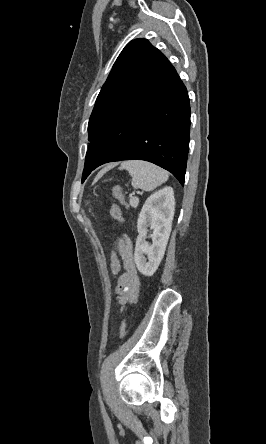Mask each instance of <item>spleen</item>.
Segmentation results:
<instances>
[{"instance_id": "3e777b00", "label": "spleen", "mask_w": 266, "mask_h": 444, "mask_svg": "<svg viewBox=\"0 0 266 444\" xmlns=\"http://www.w3.org/2000/svg\"><path fill=\"white\" fill-rule=\"evenodd\" d=\"M120 169H125L132 177V186L143 191H152L168 180V173L162 168L141 160L125 161Z\"/></svg>"}]
</instances>
